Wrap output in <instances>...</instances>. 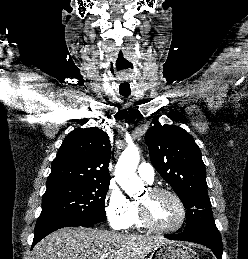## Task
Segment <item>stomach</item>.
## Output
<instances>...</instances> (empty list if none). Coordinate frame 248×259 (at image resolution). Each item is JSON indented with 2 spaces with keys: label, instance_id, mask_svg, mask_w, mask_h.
<instances>
[{
  "label": "stomach",
  "instance_id": "obj_1",
  "mask_svg": "<svg viewBox=\"0 0 248 259\" xmlns=\"http://www.w3.org/2000/svg\"><path fill=\"white\" fill-rule=\"evenodd\" d=\"M149 259H199L190 247L176 242H165L155 248Z\"/></svg>",
  "mask_w": 248,
  "mask_h": 259
}]
</instances>
